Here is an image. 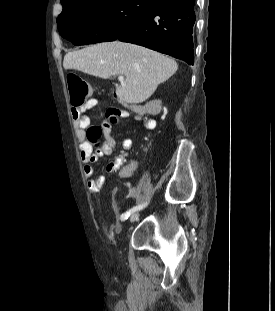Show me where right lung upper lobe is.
Returning a JSON list of instances; mask_svg holds the SVG:
<instances>
[{
    "mask_svg": "<svg viewBox=\"0 0 275 311\" xmlns=\"http://www.w3.org/2000/svg\"><path fill=\"white\" fill-rule=\"evenodd\" d=\"M69 1H74V0H61L62 5L66 4Z\"/></svg>",
    "mask_w": 275,
    "mask_h": 311,
    "instance_id": "right-lung-upper-lobe-1",
    "label": "right lung upper lobe"
}]
</instances>
